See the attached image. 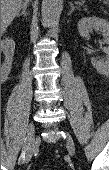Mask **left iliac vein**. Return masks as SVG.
I'll return each mask as SVG.
<instances>
[{"label":"left iliac vein","instance_id":"1","mask_svg":"<svg viewBox=\"0 0 109 170\" xmlns=\"http://www.w3.org/2000/svg\"><path fill=\"white\" fill-rule=\"evenodd\" d=\"M66 144H67L69 154L71 156H74L75 155V144H74L72 137L69 135H67L66 137Z\"/></svg>","mask_w":109,"mask_h":170}]
</instances>
